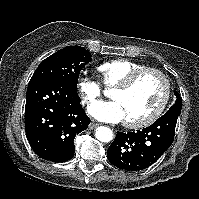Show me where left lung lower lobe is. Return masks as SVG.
<instances>
[{
  "mask_svg": "<svg viewBox=\"0 0 199 199\" xmlns=\"http://www.w3.org/2000/svg\"><path fill=\"white\" fill-rule=\"evenodd\" d=\"M178 116L176 113H166L143 130L130 133L117 131L107 150L110 163L128 171L151 166L171 146Z\"/></svg>",
  "mask_w": 199,
  "mask_h": 199,
  "instance_id": "1",
  "label": "left lung lower lobe"
}]
</instances>
